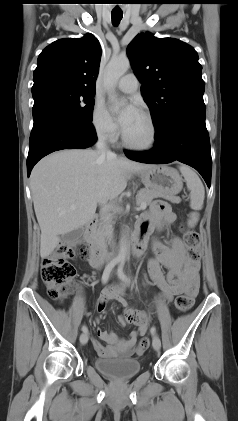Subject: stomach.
<instances>
[{"label":"stomach","instance_id":"obj_1","mask_svg":"<svg viewBox=\"0 0 238 421\" xmlns=\"http://www.w3.org/2000/svg\"><path fill=\"white\" fill-rule=\"evenodd\" d=\"M138 174L146 188L168 196L178 194L183 188V180L177 170L166 165H151Z\"/></svg>","mask_w":238,"mask_h":421}]
</instances>
